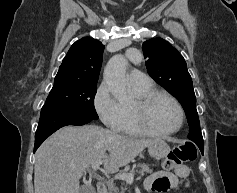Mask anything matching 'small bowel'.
I'll return each instance as SVG.
<instances>
[{"label":"small bowel","mask_w":237,"mask_h":193,"mask_svg":"<svg viewBox=\"0 0 237 193\" xmlns=\"http://www.w3.org/2000/svg\"><path fill=\"white\" fill-rule=\"evenodd\" d=\"M191 169L182 165L173 172L157 171L148 176L144 186L155 193H166L173 190L176 193H186L191 186Z\"/></svg>","instance_id":"1"}]
</instances>
